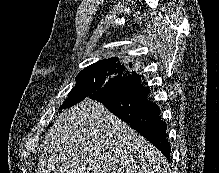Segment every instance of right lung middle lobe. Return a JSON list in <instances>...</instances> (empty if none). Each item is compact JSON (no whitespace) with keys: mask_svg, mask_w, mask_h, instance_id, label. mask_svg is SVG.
<instances>
[{"mask_svg":"<svg viewBox=\"0 0 219 173\" xmlns=\"http://www.w3.org/2000/svg\"><path fill=\"white\" fill-rule=\"evenodd\" d=\"M128 75H130L128 67L117 60L99 66L90 65L77 75L76 85L60 109L71 107L93 94L100 95L117 91Z\"/></svg>","mask_w":219,"mask_h":173,"instance_id":"right-lung-middle-lobe-1","label":"right lung middle lobe"}]
</instances>
